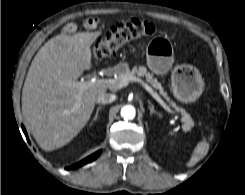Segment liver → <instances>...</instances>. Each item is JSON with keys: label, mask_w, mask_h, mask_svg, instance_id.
Masks as SVG:
<instances>
[{"label": "liver", "mask_w": 245, "mask_h": 195, "mask_svg": "<svg viewBox=\"0 0 245 195\" xmlns=\"http://www.w3.org/2000/svg\"><path fill=\"white\" fill-rule=\"evenodd\" d=\"M101 34L55 36L34 57L22 90V114L43 150L69 143L90 119L97 96L107 91L77 81L92 67L91 45Z\"/></svg>", "instance_id": "obj_1"}]
</instances>
